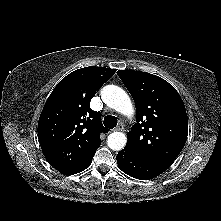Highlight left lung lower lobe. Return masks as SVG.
Returning a JSON list of instances; mask_svg holds the SVG:
<instances>
[{"label": "left lung lower lobe", "mask_w": 221, "mask_h": 221, "mask_svg": "<svg viewBox=\"0 0 221 221\" xmlns=\"http://www.w3.org/2000/svg\"><path fill=\"white\" fill-rule=\"evenodd\" d=\"M117 164L124 173L139 180H149L166 170L136 156L125 148L118 152Z\"/></svg>", "instance_id": "1"}]
</instances>
